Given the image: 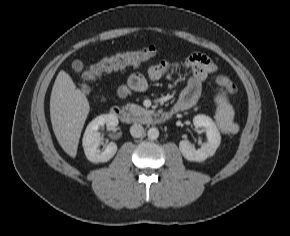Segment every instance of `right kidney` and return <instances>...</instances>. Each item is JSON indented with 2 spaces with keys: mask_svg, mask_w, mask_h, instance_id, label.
Segmentation results:
<instances>
[{
  "mask_svg": "<svg viewBox=\"0 0 290 236\" xmlns=\"http://www.w3.org/2000/svg\"><path fill=\"white\" fill-rule=\"evenodd\" d=\"M107 125L109 129H114L118 125V118L114 114H104L93 119L87 126L82 145L87 159L93 163L107 162L117 152V145L109 143L103 151L99 150L100 135L98 129Z\"/></svg>",
  "mask_w": 290,
  "mask_h": 236,
  "instance_id": "right-kidney-1",
  "label": "right kidney"
}]
</instances>
